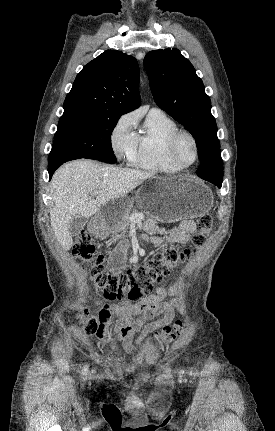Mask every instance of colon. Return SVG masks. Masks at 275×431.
Segmentation results:
<instances>
[{"mask_svg":"<svg viewBox=\"0 0 275 431\" xmlns=\"http://www.w3.org/2000/svg\"><path fill=\"white\" fill-rule=\"evenodd\" d=\"M213 227V218L209 214L202 215L197 220V232L193 237L194 249L183 251L168 248L155 253L149 260L139 263L122 273H107L104 269V257L96 255V246L90 235L81 233L73 247V254L92 264V279L97 289L106 299L122 300L136 299L141 294L150 293L154 284L160 282L179 263L189 259L195 249L200 247ZM185 330L182 321L172 326H165L161 331L152 334L153 339L161 344L170 343ZM84 331L94 336L99 331L98 320L90 317Z\"/></svg>","mask_w":275,"mask_h":431,"instance_id":"obj_1","label":"colon"}]
</instances>
